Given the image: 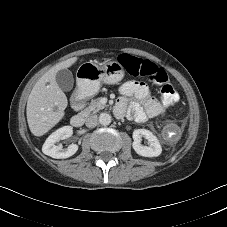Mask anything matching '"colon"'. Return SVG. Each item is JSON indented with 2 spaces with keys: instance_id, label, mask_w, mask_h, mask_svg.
Returning a JSON list of instances; mask_svg holds the SVG:
<instances>
[{
  "instance_id": "colon-1",
  "label": "colon",
  "mask_w": 227,
  "mask_h": 227,
  "mask_svg": "<svg viewBox=\"0 0 227 227\" xmlns=\"http://www.w3.org/2000/svg\"><path fill=\"white\" fill-rule=\"evenodd\" d=\"M121 65L129 75L149 77L158 83L161 86L160 96L164 103L168 105L177 103L178 94L173 84L169 81L164 69L151 61H139L132 57L121 58Z\"/></svg>"
}]
</instances>
